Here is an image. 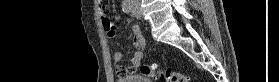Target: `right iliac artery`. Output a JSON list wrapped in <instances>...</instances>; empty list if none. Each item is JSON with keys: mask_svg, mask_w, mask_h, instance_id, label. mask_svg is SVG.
<instances>
[{"mask_svg": "<svg viewBox=\"0 0 279 82\" xmlns=\"http://www.w3.org/2000/svg\"><path fill=\"white\" fill-rule=\"evenodd\" d=\"M131 3H130V0H124L122 2V10L125 12V13H130L131 11Z\"/></svg>", "mask_w": 279, "mask_h": 82, "instance_id": "right-iliac-artery-1", "label": "right iliac artery"}]
</instances>
